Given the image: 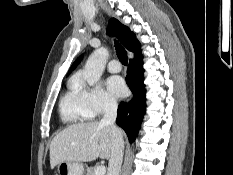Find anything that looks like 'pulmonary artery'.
I'll return each instance as SVG.
<instances>
[{"instance_id":"e3ab8cb5","label":"pulmonary artery","mask_w":233,"mask_h":175,"mask_svg":"<svg viewBox=\"0 0 233 175\" xmlns=\"http://www.w3.org/2000/svg\"><path fill=\"white\" fill-rule=\"evenodd\" d=\"M108 70L111 72V73H118L121 71V64L118 60L116 59H113L109 62L108 64Z\"/></svg>"}]
</instances>
